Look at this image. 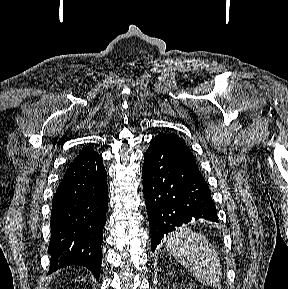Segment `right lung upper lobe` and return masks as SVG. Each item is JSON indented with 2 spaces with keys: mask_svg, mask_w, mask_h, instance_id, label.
Here are the masks:
<instances>
[{
  "mask_svg": "<svg viewBox=\"0 0 288 289\" xmlns=\"http://www.w3.org/2000/svg\"><path fill=\"white\" fill-rule=\"evenodd\" d=\"M92 151H93L92 148H90V147H86V148H84V149L82 150L81 153H79L78 156H81V155H83V154H86V153H89V152H92Z\"/></svg>",
  "mask_w": 288,
  "mask_h": 289,
  "instance_id": "right-lung-upper-lobe-1",
  "label": "right lung upper lobe"
}]
</instances>
